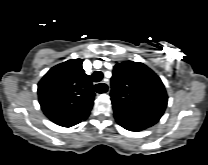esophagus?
<instances>
[{
    "instance_id": "obj_1",
    "label": "esophagus",
    "mask_w": 208,
    "mask_h": 165,
    "mask_svg": "<svg viewBox=\"0 0 208 165\" xmlns=\"http://www.w3.org/2000/svg\"><path fill=\"white\" fill-rule=\"evenodd\" d=\"M100 84H102V85L107 87V91L105 92V94L109 93V90H110L109 84L106 83V82H101Z\"/></svg>"
}]
</instances>
